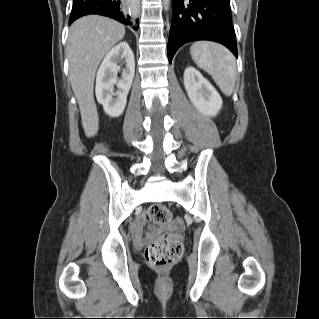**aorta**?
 <instances>
[{"mask_svg": "<svg viewBox=\"0 0 319 319\" xmlns=\"http://www.w3.org/2000/svg\"><path fill=\"white\" fill-rule=\"evenodd\" d=\"M169 2H170V0H163V4H164L165 9H168Z\"/></svg>", "mask_w": 319, "mask_h": 319, "instance_id": "762f6f07", "label": "aorta"}]
</instances>
